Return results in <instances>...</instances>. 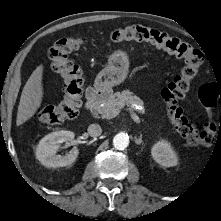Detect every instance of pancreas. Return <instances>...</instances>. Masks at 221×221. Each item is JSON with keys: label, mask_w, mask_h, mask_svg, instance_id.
<instances>
[{"label": "pancreas", "mask_w": 221, "mask_h": 221, "mask_svg": "<svg viewBox=\"0 0 221 221\" xmlns=\"http://www.w3.org/2000/svg\"><path fill=\"white\" fill-rule=\"evenodd\" d=\"M103 104V106L97 105L94 108V112L101 114L107 110L121 109L125 105H138L140 107L144 106V102L129 90H123L122 92L111 94Z\"/></svg>", "instance_id": "1"}]
</instances>
